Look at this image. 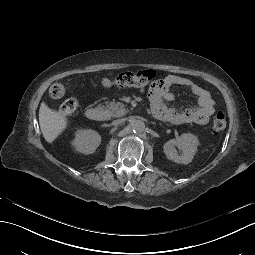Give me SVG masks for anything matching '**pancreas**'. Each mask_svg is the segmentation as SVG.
I'll use <instances>...</instances> for the list:
<instances>
[{
	"label": "pancreas",
	"instance_id": "pancreas-1",
	"mask_svg": "<svg viewBox=\"0 0 255 255\" xmlns=\"http://www.w3.org/2000/svg\"><path fill=\"white\" fill-rule=\"evenodd\" d=\"M106 111L107 113L111 116V117H122L126 114V109L124 104L117 102H110L107 106H106Z\"/></svg>",
	"mask_w": 255,
	"mask_h": 255
}]
</instances>
